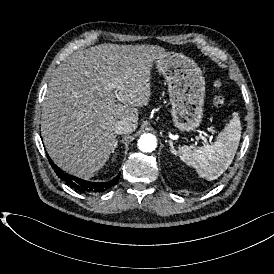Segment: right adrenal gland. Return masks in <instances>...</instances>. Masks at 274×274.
I'll return each mask as SVG.
<instances>
[{"mask_svg":"<svg viewBox=\"0 0 274 274\" xmlns=\"http://www.w3.org/2000/svg\"><path fill=\"white\" fill-rule=\"evenodd\" d=\"M112 153H113V154L115 153V148L113 149Z\"/></svg>","mask_w":274,"mask_h":274,"instance_id":"obj_1","label":"right adrenal gland"}]
</instances>
